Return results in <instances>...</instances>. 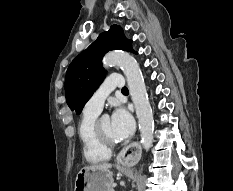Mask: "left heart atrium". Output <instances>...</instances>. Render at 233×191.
Masks as SVG:
<instances>
[{
	"mask_svg": "<svg viewBox=\"0 0 233 191\" xmlns=\"http://www.w3.org/2000/svg\"><path fill=\"white\" fill-rule=\"evenodd\" d=\"M135 122L132 115L122 107L114 110L111 117L112 135L116 140L128 138L134 131Z\"/></svg>",
	"mask_w": 233,
	"mask_h": 191,
	"instance_id": "39dd6f15",
	"label": "left heart atrium"
}]
</instances>
